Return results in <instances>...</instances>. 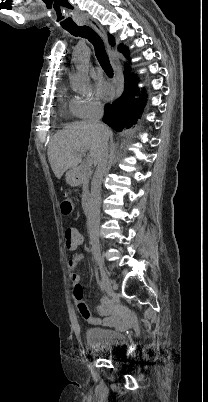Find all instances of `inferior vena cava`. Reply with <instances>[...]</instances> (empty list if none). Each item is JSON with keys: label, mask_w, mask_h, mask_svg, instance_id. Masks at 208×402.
<instances>
[{"label": "inferior vena cava", "mask_w": 208, "mask_h": 402, "mask_svg": "<svg viewBox=\"0 0 208 402\" xmlns=\"http://www.w3.org/2000/svg\"><path fill=\"white\" fill-rule=\"evenodd\" d=\"M103 116V106L101 104H92V114L88 120V124H95L99 128H104L100 124ZM108 162V144H104L101 150V156L98 160L96 172L91 182V198L87 216V228L89 232L90 244L99 246V222H100V204H101V184L106 174Z\"/></svg>", "instance_id": "obj_1"}]
</instances>
